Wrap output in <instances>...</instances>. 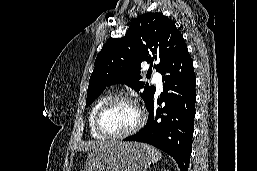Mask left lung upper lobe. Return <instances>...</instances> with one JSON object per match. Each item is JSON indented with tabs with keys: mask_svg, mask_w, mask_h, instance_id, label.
I'll return each mask as SVG.
<instances>
[{
	"mask_svg": "<svg viewBox=\"0 0 257 171\" xmlns=\"http://www.w3.org/2000/svg\"><path fill=\"white\" fill-rule=\"evenodd\" d=\"M185 46L174 22L163 14L146 13L134 19L124 37L109 40L99 52L89 80L86 106L107 86L119 83L137 92L142 90L140 96L147 104L156 89L141 81V63H151L150 74L153 62H157L154 67L161 72L170 55Z\"/></svg>",
	"mask_w": 257,
	"mask_h": 171,
	"instance_id": "left-lung-upper-lobe-1",
	"label": "left lung upper lobe"
}]
</instances>
